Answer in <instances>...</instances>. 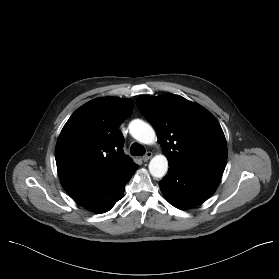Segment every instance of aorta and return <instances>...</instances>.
<instances>
[{
	"instance_id": "obj_1",
	"label": "aorta",
	"mask_w": 279,
	"mask_h": 279,
	"mask_svg": "<svg viewBox=\"0 0 279 279\" xmlns=\"http://www.w3.org/2000/svg\"><path fill=\"white\" fill-rule=\"evenodd\" d=\"M131 136L143 144H152L156 139L154 129L140 119L132 120L129 124ZM168 171V160L165 155L154 156L149 163V172L155 178H162Z\"/></svg>"
}]
</instances>
